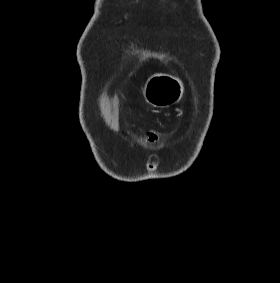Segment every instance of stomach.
Returning <instances> with one entry per match:
<instances>
[{
	"label": "stomach",
	"mask_w": 280,
	"mask_h": 283,
	"mask_svg": "<svg viewBox=\"0 0 280 283\" xmlns=\"http://www.w3.org/2000/svg\"><path fill=\"white\" fill-rule=\"evenodd\" d=\"M183 92L184 85L179 78L163 73L151 75L142 90L145 101L160 108L179 102Z\"/></svg>",
	"instance_id": "stomach-1"
}]
</instances>
